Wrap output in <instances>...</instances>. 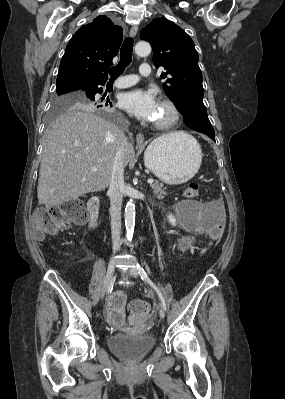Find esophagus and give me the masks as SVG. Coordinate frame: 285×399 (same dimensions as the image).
<instances>
[{
  "mask_svg": "<svg viewBox=\"0 0 285 399\" xmlns=\"http://www.w3.org/2000/svg\"><path fill=\"white\" fill-rule=\"evenodd\" d=\"M137 32H138L137 25L132 26L131 29H130V36L131 37H135ZM136 143H137V145L139 147H144V136H143V134H138L137 135Z\"/></svg>",
  "mask_w": 285,
  "mask_h": 399,
  "instance_id": "obj_1",
  "label": "esophagus"
}]
</instances>
